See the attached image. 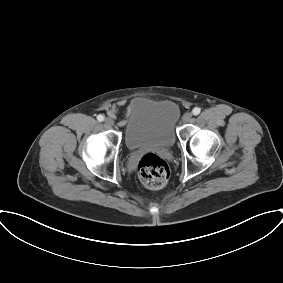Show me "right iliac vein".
<instances>
[{"instance_id": "right-iliac-vein-1", "label": "right iliac vein", "mask_w": 283, "mask_h": 283, "mask_svg": "<svg viewBox=\"0 0 283 283\" xmlns=\"http://www.w3.org/2000/svg\"><path fill=\"white\" fill-rule=\"evenodd\" d=\"M104 123L108 127H112L114 125V121L111 118H105Z\"/></svg>"}]
</instances>
